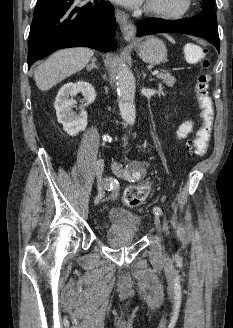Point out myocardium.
<instances>
[{
    "mask_svg": "<svg viewBox=\"0 0 233 328\" xmlns=\"http://www.w3.org/2000/svg\"><path fill=\"white\" fill-rule=\"evenodd\" d=\"M192 3L193 0H181L180 6L174 10L156 8L147 3L145 6V12L154 17L175 20L186 16L192 8Z\"/></svg>",
    "mask_w": 233,
    "mask_h": 328,
    "instance_id": "myocardium-1",
    "label": "myocardium"
}]
</instances>
